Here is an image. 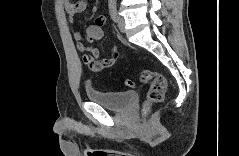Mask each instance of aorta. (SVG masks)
<instances>
[{
	"label": "aorta",
	"instance_id": "762f6f07",
	"mask_svg": "<svg viewBox=\"0 0 239 156\" xmlns=\"http://www.w3.org/2000/svg\"><path fill=\"white\" fill-rule=\"evenodd\" d=\"M116 3V0H109V5H114Z\"/></svg>",
	"mask_w": 239,
	"mask_h": 156
}]
</instances>
